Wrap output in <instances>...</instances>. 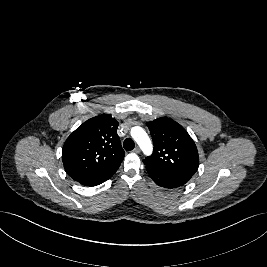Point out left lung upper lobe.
Instances as JSON below:
<instances>
[{
	"instance_id": "left-lung-upper-lobe-1",
	"label": "left lung upper lobe",
	"mask_w": 267,
	"mask_h": 267,
	"mask_svg": "<svg viewBox=\"0 0 267 267\" xmlns=\"http://www.w3.org/2000/svg\"><path fill=\"white\" fill-rule=\"evenodd\" d=\"M154 151L143 162L151 170L188 181L197 171L199 156L187 131L169 118L147 123Z\"/></svg>"
}]
</instances>
